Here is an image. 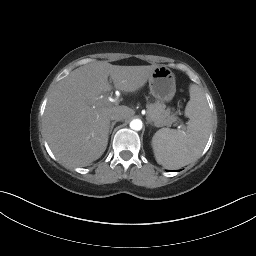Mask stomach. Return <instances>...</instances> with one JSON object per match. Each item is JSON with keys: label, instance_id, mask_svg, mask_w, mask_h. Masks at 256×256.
<instances>
[{"label": "stomach", "instance_id": "1", "mask_svg": "<svg viewBox=\"0 0 256 256\" xmlns=\"http://www.w3.org/2000/svg\"><path fill=\"white\" fill-rule=\"evenodd\" d=\"M152 96L161 102H170L176 93V82L173 72L166 66L157 67L149 78Z\"/></svg>", "mask_w": 256, "mask_h": 256}]
</instances>
